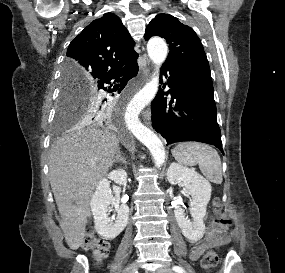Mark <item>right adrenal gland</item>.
Wrapping results in <instances>:
<instances>
[{
    "instance_id": "obj_1",
    "label": "right adrenal gland",
    "mask_w": 285,
    "mask_h": 273,
    "mask_svg": "<svg viewBox=\"0 0 285 273\" xmlns=\"http://www.w3.org/2000/svg\"><path fill=\"white\" fill-rule=\"evenodd\" d=\"M120 162L122 164H124L125 166L127 165V161L126 159L121 155V151L120 149L117 150L116 156L113 159V163H117Z\"/></svg>"
}]
</instances>
